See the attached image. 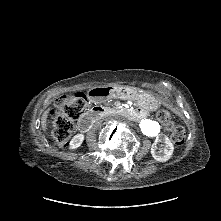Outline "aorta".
<instances>
[{"label": "aorta", "mask_w": 221, "mask_h": 221, "mask_svg": "<svg viewBox=\"0 0 221 221\" xmlns=\"http://www.w3.org/2000/svg\"><path fill=\"white\" fill-rule=\"evenodd\" d=\"M139 126L142 132L148 136H156L160 131V126L157 122L150 121L147 119H140Z\"/></svg>", "instance_id": "aorta-1"}]
</instances>
